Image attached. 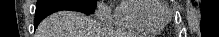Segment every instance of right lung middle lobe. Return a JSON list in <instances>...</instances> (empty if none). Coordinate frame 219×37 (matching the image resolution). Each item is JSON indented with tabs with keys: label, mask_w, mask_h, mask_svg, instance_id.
Returning a JSON list of instances; mask_svg holds the SVG:
<instances>
[{
	"label": "right lung middle lobe",
	"mask_w": 219,
	"mask_h": 37,
	"mask_svg": "<svg viewBox=\"0 0 219 37\" xmlns=\"http://www.w3.org/2000/svg\"><path fill=\"white\" fill-rule=\"evenodd\" d=\"M96 1L97 0H62V1L60 0H38L36 9L49 6L55 3H67V4H72L80 8L81 10L92 14L95 11Z\"/></svg>",
	"instance_id": "obj_1"
}]
</instances>
